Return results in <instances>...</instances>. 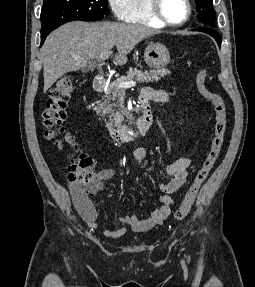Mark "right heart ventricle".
Returning <instances> with one entry per match:
<instances>
[{"instance_id":"e07e8e85","label":"right heart ventricle","mask_w":255,"mask_h":287,"mask_svg":"<svg viewBox=\"0 0 255 287\" xmlns=\"http://www.w3.org/2000/svg\"><path fill=\"white\" fill-rule=\"evenodd\" d=\"M134 33H151V32H134ZM112 39V38H110ZM136 39H140V38H136ZM153 39H161V38H153ZM158 48H165V47H158Z\"/></svg>"}]
</instances>
